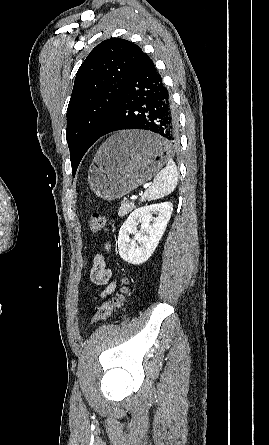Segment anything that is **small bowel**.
<instances>
[{"mask_svg":"<svg viewBox=\"0 0 269 445\" xmlns=\"http://www.w3.org/2000/svg\"><path fill=\"white\" fill-rule=\"evenodd\" d=\"M90 279L94 284L104 286L97 298L107 297L115 291L117 286L116 281L112 280V271L107 267L105 257L102 254H97L93 259Z\"/></svg>","mask_w":269,"mask_h":445,"instance_id":"1","label":"small bowel"}]
</instances>
